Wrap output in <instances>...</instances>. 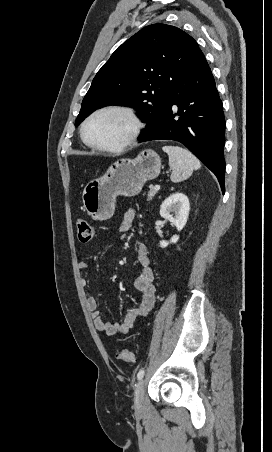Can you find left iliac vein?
<instances>
[{"label": "left iliac vein", "mask_w": 272, "mask_h": 452, "mask_svg": "<svg viewBox=\"0 0 272 452\" xmlns=\"http://www.w3.org/2000/svg\"><path fill=\"white\" fill-rule=\"evenodd\" d=\"M144 379H141L135 386L134 406L137 413H141L144 409Z\"/></svg>", "instance_id": "left-iliac-vein-1"}]
</instances>
